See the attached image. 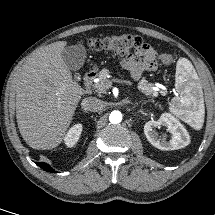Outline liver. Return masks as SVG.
Segmentation results:
<instances>
[{
	"mask_svg": "<svg viewBox=\"0 0 215 215\" xmlns=\"http://www.w3.org/2000/svg\"><path fill=\"white\" fill-rule=\"evenodd\" d=\"M66 44L34 51L14 79L18 128L34 149H53L64 140L84 92L62 58Z\"/></svg>",
	"mask_w": 215,
	"mask_h": 215,
	"instance_id": "1",
	"label": "liver"
}]
</instances>
